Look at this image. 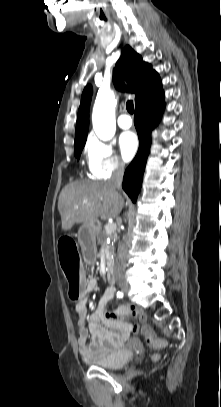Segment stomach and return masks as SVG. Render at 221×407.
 <instances>
[{
	"instance_id": "stomach-1",
	"label": "stomach",
	"mask_w": 221,
	"mask_h": 407,
	"mask_svg": "<svg viewBox=\"0 0 221 407\" xmlns=\"http://www.w3.org/2000/svg\"><path fill=\"white\" fill-rule=\"evenodd\" d=\"M83 227H85V228H87V229H92V228H94L95 226H94L93 224H91V223H85V224L83 225Z\"/></svg>"
}]
</instances>
